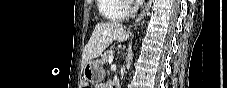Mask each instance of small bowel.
Instances as JSON below:
<instances>
[{"label":"small bowel","instance_id":"1","mask_svg":"<svg viewBox=\"0 0 227 88\" xmlns=\"http://www.w3.org/2000/svg\"><path fill=\"white\" fill-rule=\"evenodd\" d=\"M96 87H97V88H108V87H110V86H108L107 84L101 83V84H98Z\"/></svg>","mask_w":227,"mask_h":88}]
</instances>
